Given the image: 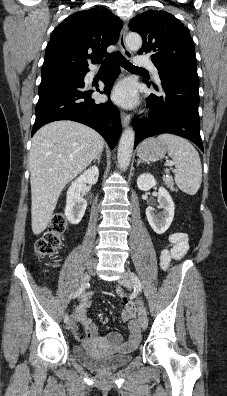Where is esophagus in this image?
<instances>
[{
	"mask_svg": "<svg viewBox=\"0 0 227 396\" xmlns=\"http://www.w3.org/2000/svg\"><path fill=\"white\" fill-rule=\"evenodd\" d=\"M127 31H128V25L125 22L123 24V27H122V30L120 33L119 46H120L124 56L128 59H131L133 55H132V52L128 49V47L126 45V41H125ZM121 122H122V125L124 127H126L130 122V115L122 111L121 112Z\"/></svg>",
	"mask_w": 227,
	"mask_h": 396,
	"instance_id": "1",
	"label": "esophagus"
}]
</instances>
